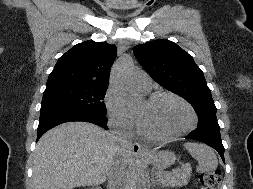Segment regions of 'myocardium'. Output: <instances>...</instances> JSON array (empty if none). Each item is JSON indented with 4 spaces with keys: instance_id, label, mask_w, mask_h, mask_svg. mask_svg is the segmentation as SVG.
Returning a JSON list of instances; mask_svg holds the SVG:
<instances>
[{
    "instance_id": "obj_1",
    "label": "myocardium",
    "mask_w": 253,
    "mask_h": 189,
    "mask_svg": "<svg viewBox=\"0 0 253 189\" xmlns=\"http://www.w3.org/2000/svg\"><path fill=\"white\" fill-rule=\"evenodd\" d=\"M163 98L173 99V100L181 103L183 106H185L190 113L191 120L185 128H183L182 130H180L172 135H168V136L152 135V134L146 132L145 130H143L142 127L140 126V124L138 125V130L143 136H145L146 138H148L150 140L157 141V142H168V141H171V140H174V139H177L179 137L186 135L187 133L191 132L196 127L197 121H198L197 114H196L195 110L193 109V107L191 106V104L177 94H174L171 92H158V93L151 95L148 98L147 102L154 103V102H156L160 99H163Z\"/></svg>"
}]
</instances>
